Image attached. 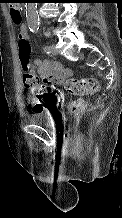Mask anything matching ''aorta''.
<instances>
[{"mask_svg":"<svg viewBox=\"0 0 122 218\" xmlns=\"http://www.w3.org/2000/svg\"><path fill=\"white\" fill-rule=\"evenodd\" d=\"M26 19L31 30L36 31L39 26L37 3H26Z\"/></svg>","mask_w":122,"mask_h":218,"instance_id":"762f6f07","label":"aorta"}]
</instances>
